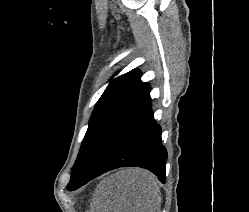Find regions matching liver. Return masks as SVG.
<instances>
[{
    "instance_id": "liver-1",
    "label": "liver",
    "mask_w": 249,
    "mask_h": 212,
    "mask_svg": "<svg viewBox=\"0 0 249 212\" xmlns=\"http://www.w3.org/2000/svg\"><path fill=\"white\" fill-rule=\"evenodd\" d=\"M155 176L142 168H125L104 178L90 212H160L161 192Z\"/></svg>"
}]
</instances>
